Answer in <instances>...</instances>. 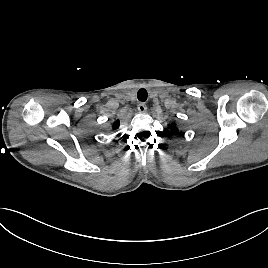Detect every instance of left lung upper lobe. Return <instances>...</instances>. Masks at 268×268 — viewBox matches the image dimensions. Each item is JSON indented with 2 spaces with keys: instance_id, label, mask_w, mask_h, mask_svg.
Wrapping results in <instances>:
<instances>
[{
  "instance_id": "left-lung-upper-lobe-1",
  "label": "left lung upper lobe",
  "mask_w": 268,
  "mask_h": 268,
  "mask_svg": "<svg viewBox=\"0 0 268 268\" xmlns=\"http://www.w3.org/2000/svg\"><path fill=\"white\" fill-rule=\"evenodd\" d=\"M170 129L174 132L177 133V128H176V124L172 123L171 125H169Z\"/></svg>"
}]
</instances>
